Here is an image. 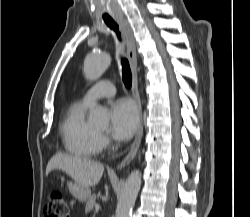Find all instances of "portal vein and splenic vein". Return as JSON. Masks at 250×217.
Wrapping results in <instances>:
<instances>
[{"label":"portal vein and splenic vein","mask_w":250,"mask_h":217,"mask_svg":"<svg viewBox=\"0 0 250 217\" xmlns=\"http://www.w3.org/2000/svg\"><path fill=\"white\" fill-rule=\"evenodd\" d=\"M99 209H100V205H99V204H96V205H95V210H96V211H99Z\"/></svg>","instance_id":"obj_1"}]
</instances>
